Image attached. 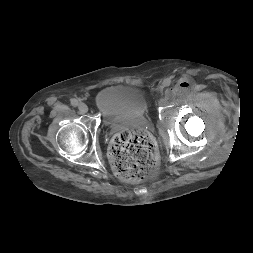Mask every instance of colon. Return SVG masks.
<instances>
[{
  "label": "colon",
  "mask_w": 253,
  "mask_h": 253,
  "mask_svg": "<svg viewBox=\"0 0 253 253\" xmlns=\"http://www.w3.org/2000/svg\"><path fill=\"white\" fill-rule=\"evenodd\" d=\"M110 158L120 179L141 180L150 175L156 165L153 140L141 129L122 130L112 140Z\"/></svg>",
  "instance_id": "colon-1"
}]
</instances>
